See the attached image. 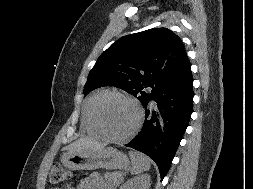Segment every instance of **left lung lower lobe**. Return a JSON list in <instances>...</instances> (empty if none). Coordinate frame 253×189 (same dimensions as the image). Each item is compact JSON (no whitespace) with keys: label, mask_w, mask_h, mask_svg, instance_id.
<instances>
[{"label":"left lung lower lobe","mask_w":253,"mask_h":189,"mask_svg":"<svg viewBox=\"0 0 253 189\" xmlns=\"http://www.w3.org/2000/svg\"><path fill=\"white\" fill-rule=\"evenodd\" d=\"M190 66L186 58L179 71L144 105L143 128L126 145L151 157L160 170L161 180L171 166L192 114L194 93Z\"/></svg>","instance_id":"1"}]
</instances>
